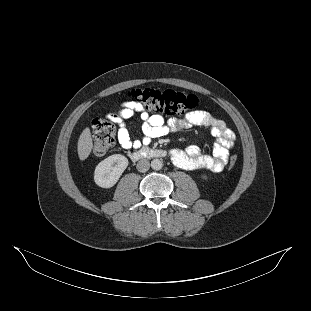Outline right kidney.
<instances>
[{
	"label": "right kidney",
	"mask_w": 311,
	"mask_h": 311,
	"mask_svg": "<svg viewBox=\"0 0 311 311\" xmlns=\"http://www.w3.org/2000/svg\"><path fill=\"white\" fill-rule=\"evenodd\" d=\"M128 163V159L121 154H114L107 157L95 168V183L102 188L114 186L127 168Z\"/></svg>",
	"instance_id": "1"
}]
</instances>
